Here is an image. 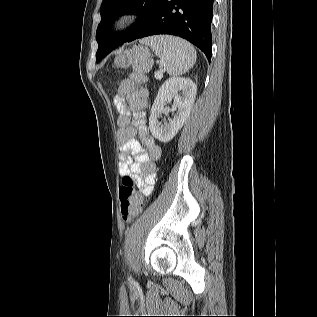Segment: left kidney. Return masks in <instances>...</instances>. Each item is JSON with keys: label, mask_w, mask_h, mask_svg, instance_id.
I'll return each mask as SVG.
<instances>
[{"label": "left kidney", "mask_w": 317, "mask_h": 317, "mask_svg": "<svg viewBox=\"0 0 317 317\" xmlns=\"http://www.w3.org/2000/svg\"><path fill=\"white\" fill-rule=\"evenodd\" d=\"M196 92L197 86L190 78L173 77L161 86L149 117V128L156 139L164 143L173 139L190 114ZM170 99H174L173 110L177 112L174 118L169 119V123L163 126L158 117L166 111L164 105Z\"/></svg>", "instance_id": "1"}]
</instances>
